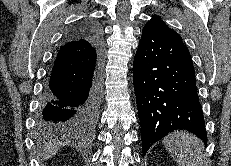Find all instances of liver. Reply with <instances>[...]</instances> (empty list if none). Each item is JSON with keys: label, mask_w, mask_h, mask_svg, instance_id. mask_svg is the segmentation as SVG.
Here are the masks:
<instances>
[{"label": "liver", "mask_w": 231, "mask_h": 166, "mask_svg": "<svg viewBox=\"0 0 231 166\" xmlns=\"http://www.w3.org/2000/svg\"><path fill=\"white\" fill-rule=\"evenodd\" d=\"M59 150V145L58 144H45L43 146V159H49L51 158L52 156H54L57 151Z\"/></svg>", "instance_id": "obj_1"}]
</instances>
